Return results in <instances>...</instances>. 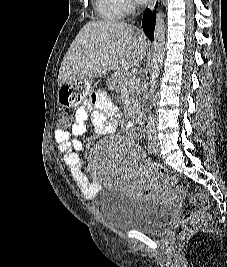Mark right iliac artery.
<instances>
[{
    "label": "right iliac artery",
    "mask_w": 227,
    "mask_h": 267,
    "mask_svg": "<svg viewBox=\"0 0 227 267\" xmlns=\"http://www.w3.org/2000/svg\"><path fill=\"white\" fill-rule=\"evenodd\" d=\"M147 149H148L149 153H154V151H155L154 146L150 142V139L148 141Z\"/></svg>",
    "instance_id": "right-iliac-artery-1"
}]
</instances>
